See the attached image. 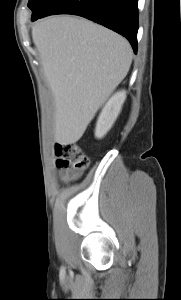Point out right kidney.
Listing matches in <instances>:
<instances>
[{"label":"right kidney","mask_w":181,"mask_h":300,"mask_svg":"<svg viewBox=\"0 0 181 300\" xmlns=\"http://www.w3.org/2000/svg\"><path fill=\"white\" fill-rule=\"evenodd\" d=\"M126 99V91H118L104 105L96 124L95 137L102 139L111 129Z\"/></svg>","instance_id":"obj_1"}]
</instances>
